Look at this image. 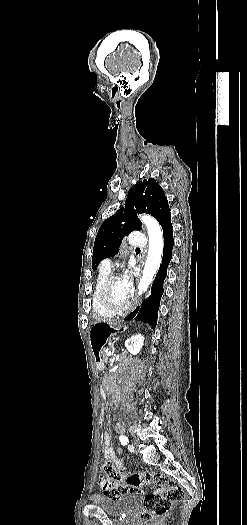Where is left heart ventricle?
I'll list each match as a JSON object with an SVG mask.
<instances>
[{
    "label": "left heart ventricle",
    "mask_w": 247,
    "mask_h": 525,
    "mask_svg": "<svg viewBox=\"0 0 247 525\" xmlns=\"http://www.w3.org/2000/svg\"><path fill=\"white\" fill-rule=\"evenodd\" d=\"M140 265H150V264H140ZM121 284H122V278L114 279L109 287V296L113 299L124 301L127 299L128 295L123 292Z\"/></svg>",
    "instance_id": "left-heart-ventricle-1"
}]
</instances>
